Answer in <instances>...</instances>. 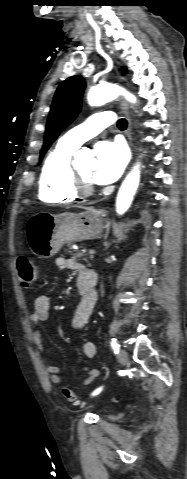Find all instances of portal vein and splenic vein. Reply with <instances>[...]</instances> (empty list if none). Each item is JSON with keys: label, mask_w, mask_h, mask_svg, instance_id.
I'll return each instance as SVG.
<instances>
[{"label": "portal vein and splenic vein", "mask_w": 187, "mask_h": 479, "mask_svg": "<svg viewBox=\"0 0 187 479\" xmlns=\"http://www.w3.org/2000/svg\"><path fill=\"white\" fill-rule=\"evenodd\" d=\"M88 254L93 255V254H95V251L94 250H88Z\"/></svg>", "instance_id": "portal-vein-and-splenic-vein-1"}]
</instances>
